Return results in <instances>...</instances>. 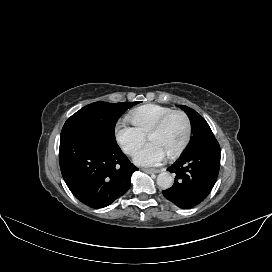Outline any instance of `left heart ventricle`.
<instances>
[{"mask_svg": "<svg viewBox=\"0 0 272 272\" xmlns=\"http://www.w3.org/2000/svg\"><path fill=\"white\" fill-rule=\"evenodd\" d=\"M186 135V122L180 115L172 117L165 127L149 136V141L155 142L166 155L173 152L183 142Z\"/></svg>", "mask_w": 272, "mask_h": 272, "instance_id": "obj_1", "label": "left heart ventricle"}]
</instances>
